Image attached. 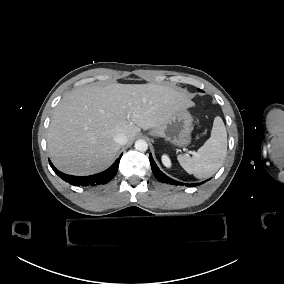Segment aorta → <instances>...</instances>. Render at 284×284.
<instances>
[{"instance_id":"obj_1","label":"aorta","mask_w":284,"mask_h":284,"mask_svg":"<svg viewBox=\"0 0 284 284\" xmlns=\"http://www.w3.org/2000/svg\"><path fill=\"white\" fill-rule=\"evenodd\" d=\"M135 149L138 150V151H141V152H144L148 149V144L145 140H137L135 142Z\"/></svg>"}]
</instances>
